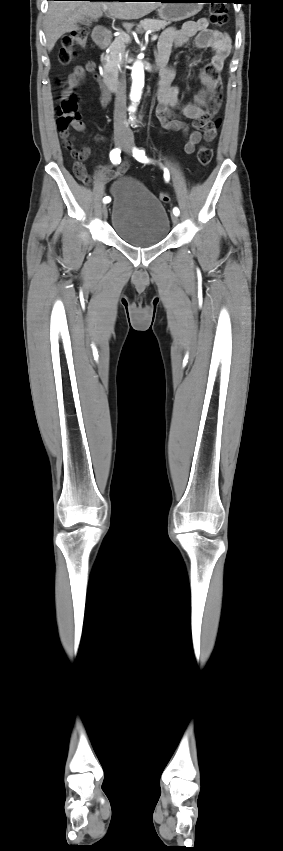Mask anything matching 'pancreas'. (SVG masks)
Here are the masks:
<instances>
[{"label":"pancreas","mask_w":283,"mask_h":851,"mask_svg":"<svg viewBox=\"0 0 283 851\" xmlns=\"http://www.w3.org/2000/svg\"><path fill=\"white\" fill-rule=\"evenodd\" d=\"M168 24L169 23L166 22V21L155 20V19L148 20L147 19V20L142 21L140 23V25L138 26V28L139 29L143 28L145 31L151 30V31L155 32V31H160L161 29H164ZM127 43H128V40H126L124 35L116 37L115 40L112 42V44L109 47V50H110L109 53H107V54H105L101 57V62H102L105 73H107V72L114 73V72L118 71L119 66L122 65L123 62H124L123 56H124V53H125V48H126Z\"/></svg>","instance_id":"1"}]
</instances>
